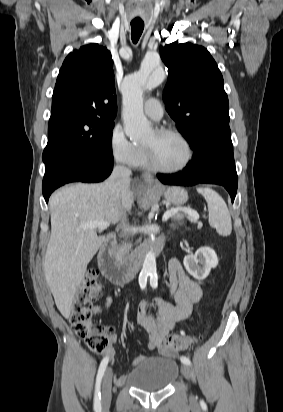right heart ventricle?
<instances>
[{"label": "right heart ventricle", "mask_w": 283, "mask_h": 412, "mask_svg": "<svg viewBox=\"0 0 283 412\" xmlns=\"http://www.w3.org/2000/svg\"><path fill=\"white\" fill-rule=\"evenodd\" d=\"M134 166L139 167V168L148 167L145 154H144V149L142 146H138V156L134 163Z\"/></svg>", "instance_id": "right-heart-ventricle-1"}]
</instances>
